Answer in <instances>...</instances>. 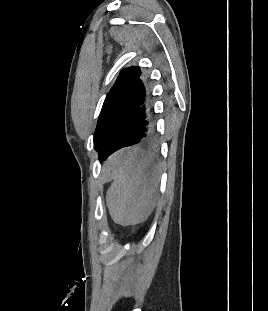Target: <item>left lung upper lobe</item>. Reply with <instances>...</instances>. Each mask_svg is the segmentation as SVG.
<instances>
[{"mask_svg": "<svg viewBox=\"0 0 268 311\" xmlns=\"http://www.w3.org/2000/svg\"><path fill=\"white\" fill-rule=\"evenodd\" d=\"M141 74L138 66L124 68L105 98L94 133V148L98 152L100 162L120 125V114L127 106L130 93ZM123 121L124 118L121 123Z\"/></svg>", "mask_w": 268, "mask_h": 311, "instance_id": "left-lung-upper-lobe-1", "label": "left lung upper lobe"}]
</instances>
